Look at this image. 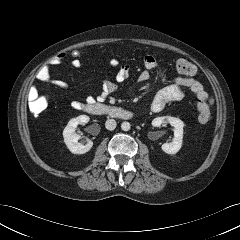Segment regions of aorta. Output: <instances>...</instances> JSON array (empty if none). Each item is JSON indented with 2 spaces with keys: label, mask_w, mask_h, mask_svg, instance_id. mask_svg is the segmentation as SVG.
Here are the masks:
<instances>
[{
  "label": "aorta",
  "mask_w": 240,
  "mask_h": 240,
  "mask_svg": "<svg viewBox=\"0 0 240 240\" xmlns=\"http://www.w3.org/2000/svg\"><path fill=\"white\" fill-rule=\"evenodd\" d=\"M130 127H131V125H130V123L129 122H123L122 124H121V129L123 130V131H129L130 130Z\"/></svg>",
  "instance_id": "762f6f07"
}]
</instances>
